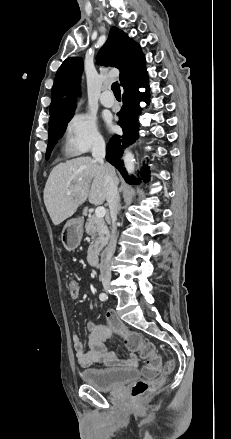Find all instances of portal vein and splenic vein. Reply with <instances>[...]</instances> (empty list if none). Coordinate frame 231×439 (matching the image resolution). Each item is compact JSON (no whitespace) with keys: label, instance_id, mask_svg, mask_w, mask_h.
Masks as SVG:
<instances>
[{"label":"portal vein and splenic vein","instance_id":"18ae733b","mask_svg":"<svg viewBox=\"0 0 231 439\" xmlns=\"http://www.w3.org/2000/svg\"><path fill=\"white\" fill-rule=\"evenodd\" d=\"M67 194H71V192L68 191ZM105 214H106V210H105L104 207L99 206V207L96 208V210H95V216L96 217L103 218L105 216Z\"/></svg>","mask_w":231,"mask_h":439}]
</instances>
